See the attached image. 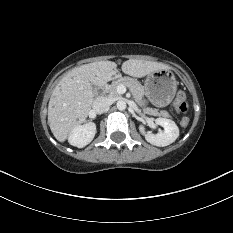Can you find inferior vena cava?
<instances>
[{"label":"inferior vena cava","instance_id":"obj_1","mask_svg":"<svg viewBox=\"0 0 233 233\" xmlns=\"http://www.w3.org/2000/svg\"><path fill=\"white\" fill-rule=\"evenodd\" d=\"M112 104V101L106 97H99L92 104V111L96 114L104 113Z\"/></svg>","mask_w":233,"mask_h":233}]
</instances>
